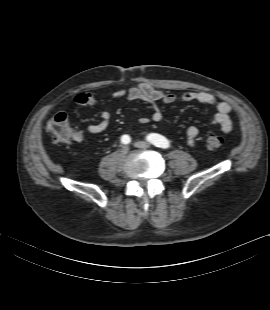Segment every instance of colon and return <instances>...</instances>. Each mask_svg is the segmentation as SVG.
I'll return each instance as SVG.
<instances>
[{"label": "colon", "mask_w": 270, "mask_h": 310, "mask_svg": "<svg viewBox=\"0 0 270 310\" xmlns=\"http://www.w3.org/2000/svg\"><path fill=\"white\" fill-rule=\"evenodd\" d=\"M48 130L55 141L60 143H71L79 138L78 131H75L69 124L68 115L65 112L55 114L48 122ZM206 147L218 149L223 144V139L219 135H209L205 140Z\"/></svg>", "instance_id": "colon-1"}]
</instances>
